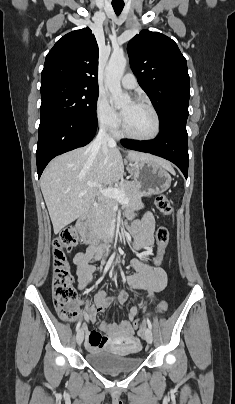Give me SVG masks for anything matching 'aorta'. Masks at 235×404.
<instances>
[{"instance_id": "1", "label": "aorta", "mask_w": 235, "mask_h": 404, "mask_svg": "<svg viewBox=\"0 0 235 404\" xmlns=\"http://www.w3.org/2000/svg\"><path fill=\"white\" fill-rule=\"evenodd\" d=\"M127 60L123 54L113 53L105 70V85L110 91V102L117 108L130 103V96L123 93L121 78L123 76Z\"/></svg>"}]
</instances>
